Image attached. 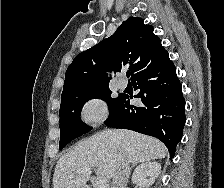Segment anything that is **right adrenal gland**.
<instances>
[{
	"mask_svg": "<svg viewBox=\"0 0 224 188\" xmlns=\"http://www.w3.org/2000/svg\"><path fill=\"white\" fill-rule=\"evenodd\" d=\"M137 164L135 163V164H133L132 166H131V168H130V172L132 171V169L136 166Z\"/></svg>",
	"mask_w": 224,
	"mask_h": 188,
	"instance_id": "obj_1",
	"label": "right adrenal gland"
}]
</instances>
